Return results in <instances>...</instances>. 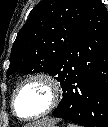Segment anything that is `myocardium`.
I'll return each mask as SVG.
<instances>
[{
    "mask_svg": "<svg viewBox=\"0 0 108 127\" xmlns=\"http://www.w3.org/2000/svg\"><path fill=\"white\" fill-rule=\"evenodd\" d=\"M32 82H41L48 88L49 94H50L49 104L42 112H40L34 116L23 117V116L19 115L16 110V105H15L16 97H17L18 93L22 90V88H24L27 84L32 83ZM61 94H62L61 86H60L59 82L57 81V79H55L49 73L36 72V73L30 74L27 77H25L17 85V87L15 88V90L13 91L12 96H11V108H12L13 113L19 119L24 120V121H33V120L39 119V118L49 114L50 112H52L59 104L60 99H61Z\"/></svg>",
    "mask_w": 108,
    "mask_h": 127,
    "instance_id": "obj_1",
    "label": "myocardium"
}]
</instances>
